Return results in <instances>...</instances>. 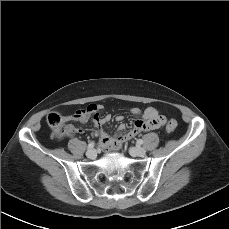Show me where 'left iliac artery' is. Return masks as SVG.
I'll return each instance as SVG.
<instances>
[{
    "mask_svg": "<svg viewBox=\"0 0 229 229\" xmlns=\"http://www.w3.org/2000/svg\"><path fill=\"white\" fill-rule=\"evenodd\" d=\"M137 144L142 145V144H143V140H142V139H139V140L137 141Z\"/></svg>",
    "mask_w": 229,
    "mask_h": 229,
    "instance_id": "1",
    "label": "left iliac artery"
}]
</instances>
